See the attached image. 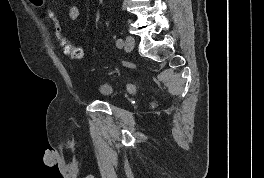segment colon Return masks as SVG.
<instances>
[{"label": "colon", "mask_w": 264, "mask_h": 178, "mask_svg": "<svg viewBox=\"0 0 264 178\" xmlns=\"http://www.w3.org/2000/svg\"><path fill=\"white\" fill-rule=\"evenodd\" d=\"M33 5H35L38 8H41L44 12L45 18L48 21V23L51 25L60 46L62 47L63 53L72 59L80 60L83 58L84 52L83 49L77 46L72 45L68 39L66 38L64 34L63 27L57 18V16L47 10L44 7V1L43 0H29Z\"/></svg>", "instance_id": "obj_1"}]
</instances>
